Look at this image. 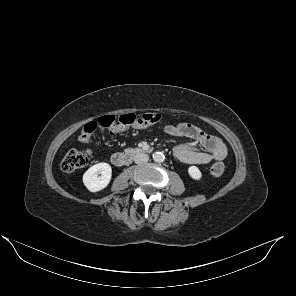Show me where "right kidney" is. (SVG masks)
<instances>
[{
  "label": "right kidney",
  "mask_w": 296,
  "mask_h": 296,
  "mask_svg": "<svg viewBox=\"0 0 296 296\" xmlns=\"http://www.w3.org/2000/svg\"><path fill=\"white\" fill-rule=\"evenodd\" d=\"M111 177V166L108 163H98L84 173L83 183L90 192H98L108 186Z\"/></svg>",
  "instance_id": "obj_1"
}]
</instances>
